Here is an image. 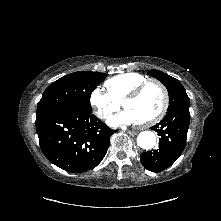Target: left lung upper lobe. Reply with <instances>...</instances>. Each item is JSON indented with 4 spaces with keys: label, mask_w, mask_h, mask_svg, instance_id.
I'll list each match as a JSON object with an SVG mask.
<instances>
[{
    "label": "left lung upper lobe",
    "mask_w": 221,
    "mask_h": 221,
    "mask_svg": "<svg viewBox=\"0 0 221 221\" xmlns=\"http://www.w3.org/2000/svg\"><path fill=\"white\" fill-rule=\"evenodd\" d=\"M148 74L160 80L167 88L169 93L168 111L189 108L190 99L179 80L159 70H149Z\"/></svg>",
    "instance_id": "left-lung-upper-lobe-1"
}]
</instances>
